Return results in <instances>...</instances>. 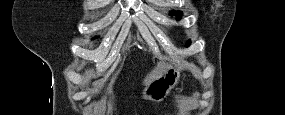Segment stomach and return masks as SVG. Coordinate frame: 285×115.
<instances>
[{
	"instance_id": "1",
	"label": "stomach",
	"mask_w": 285,
	"mask_h": 115,
	"mask_svg": "<svg viewBox=\"0 0 285 115\" xmlns=\"http://www.w3.org/2000/svg\"><path fill=\"white\" fill-rule=\"evenodd\" d=\"M181 70L176 66H170L159 78L152 80L143 90L142 98L152 102L162 101L175 87Z\"/></svg>"
}]
</instances>
